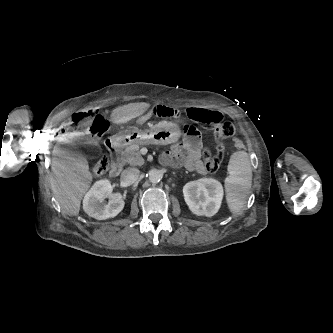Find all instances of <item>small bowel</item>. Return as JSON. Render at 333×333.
Returning a JSON list of instances; mask_svg holds the SVG:
<instances>
[{"instance_id":"small-bowel-1","label":"small bowel","mask_w":333,"mask_h":333,"mask_svg":"<svg viewBox=\"0 0 333 333\" xmlns=\"http://www.w3.org/2000/svg\"><path fill=\"white\" fill-rule=\"evenodd\" d=\"M162 108L158 106L154 111L157 113ZM202 121L206 124L212 125L213 123L222 122L223 115L215 109H202ZM155 113L151 111L147 116L144 114L138 119L132 120L130 123L133 125L138 122L144 123L148 121ZM201 142L195 136L188 137L185 141L175 144L171 147L170 154L174 157L176 162L183 165L186 169L197 173H205V166L201 159Z\"/></svg>"}]
</instances>
